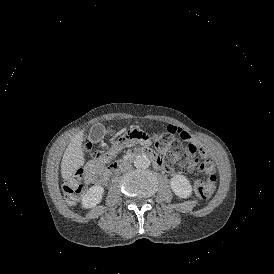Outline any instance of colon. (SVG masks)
<instances>
[{
	"label": "colon",
	"instance_id": "obj_1",
	"mask_svg": "<svg viewBox=\"0 0 274 274\" xmlns=\"http://www.w3.org/2000/svg\"><path fill=\"white\" fill-rule=\"evenodd\" d=\"M147 137L148 134L146 131H129L127 136L118 134L117 141L123 143L126 139L127 144H138L139 140H146ZM80 140L86 141L87 135L81 134ZM188 146L189 144L178 139L175 134L168 129L155 137V148L158 155L164 158L171 166L173 160L178 155L186 153ZM80 173V170H76L73 177L67 181L63 187L65 201L70 205L77 202V195L82 190V185L78 182ZM193 189L197 197L201 199L209 198L214 191L212 183L205 182L202 179L194 183Z\"/></svg>",
	"mask_w": 274,
	"mask_h": 274
}]
</instances>
